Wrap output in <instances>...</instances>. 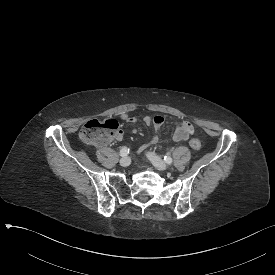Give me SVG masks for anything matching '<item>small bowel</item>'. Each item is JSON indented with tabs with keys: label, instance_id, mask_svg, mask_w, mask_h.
I'll use <instances>...</instances> for the list:
<instances>
[{
	"label": "small bowel",
	"instance_id": "obj_1",
	"mask_svg": "<svg viewBox=\"0 0 275 275\" xmlns=\"http://www.w3.org/2000/svg\"><path fill=\"white\" fill-rule=\"evenodd\" d=\"M122 120L126 121L130 124H135V123L138 122V118L136 116L129 115V114H126V113L122 114ZM147 122H150V119H147ZM162 123H163V118L162 117L157 116V117L153 118V124H154L155 130H157L161 126ZM193 131H194V127H193V124L190 121L180 122L176 126L175 131L173 133V140L175 142L185 141L193 133ZM117 134H118L117 138L119 140H123L125 138L124 131L122 129H119L117 131ZM156 141H157V137L154 136L151 139L150 143L140 145L138 147V152L145 151L150 144L155 143Z\"/></svg>",
	"mask_w": 275,
	"mask_h": 275
}]
</instances>
